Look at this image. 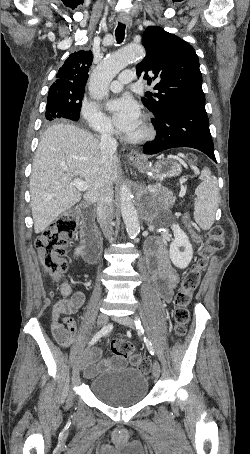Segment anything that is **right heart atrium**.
I'll use <instances>...</instances> for the list:
<instances>
[{
	"instance_id": "d8ad5b80",
	"label": "right heart atrium",
	"mask_w": 250,
	"mask_h": 454,
	"mask_svg": "<svg viewBox=\"0 0 250 454\" xmlns=\"http://www.w3.org/2000/svg\"><path fill=\"white\" fill-rule=\"evenodd\" d=\"M80 114L92 131L101 135H110L113 133V127L110 121L92 103L84 101L80 109Z\"/></svg>"
}]
</instances>
